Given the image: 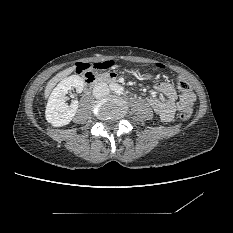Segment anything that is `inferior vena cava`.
<instances>
[{
    "instance_id": "inferior-vena-cava-1",
    "label": "inferior vena cava",
    "mask_w": 233,
    "mask_h": 233,
    "mask_svg": "<svg viewBox=\"0 0 233 233\" xmlns=\"http://www.w3.org/2000/svg\"><path fill=\"white\" fill-rule=\"evenodd\" d=\"M109 93V87L104 82L97 83L93 88V95L97 98L108 95Z\"/></svg>"
}]
</instances>
